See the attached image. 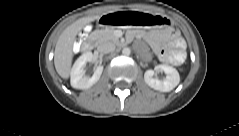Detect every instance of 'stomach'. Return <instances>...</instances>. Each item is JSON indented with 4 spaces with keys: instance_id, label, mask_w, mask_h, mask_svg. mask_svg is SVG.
Instances as JSON below:
<instances>
[{
    "instance_id": "0dacf381",
    "label": "stomach",
    "mask_w": 239,
    "mask_h": 136,
    "mask_svg": "<svg viewBox=\"0 0 239 136\" xmlns=\"http://www.w3.org/2000/svg\"><path fill=\"white\" fill-rule=\"evenodd\" d=\"M100 25L155 30L158 27L170 28L172 26V19L150 16L149 13H143L142 11H116L108 12L107 16H100Z\"/></svg>"
}]
</instances>
